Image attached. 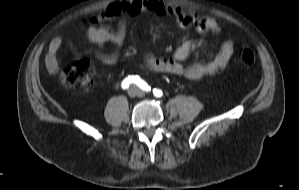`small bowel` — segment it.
Returning a JSON list of instances; mask_svg holds the SVG:
<instances>
[{
	"instance_id": "small-bowel-1",
	"label": "small bowel",
	"mask_w": 299,
	"mask_h": 190,
	"mask_svg": "<svg viewBox=\"0 0 299 190\" xmlns=\"http://www.w3.org/2000/svg\"><path fill=\"white\" fill-rule=\"evenodd\" d=\"M143 12H150L158 16L165 14L174 15L180 28L194 25L199 33H218L220 31L218 23L213 18L198 16L190 10L165 3L162 0H124L116 2L109 5L104 12L94 15L91 19L92 25L87 31L90 42L98 47L110 43L117 48L112 53L97 54V59L102 64L113 65L117 62L119 49L122 47L126 36L125 20L119 19L115 28L105 23L118 19L123 13L136 16ZM199 42L200 39L197 38L185 39L176 48L171 58L156 57L150 49H147L144 52V60L141 66L154 72L179 75L191 80L214 75L226 67L234 51V45L231 40L225 41L218 53L209 61L186 65L185 61ZM62 44V36L54 37L49 44L46 64L50 72L55 73L58 71L59 65L56 56Z\"/></svg>"
}]
</instances>
